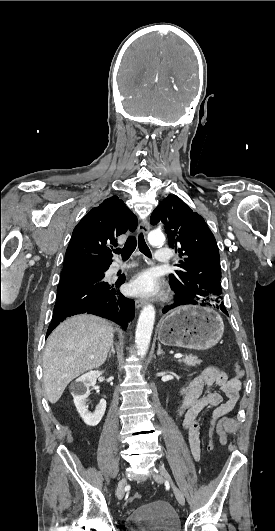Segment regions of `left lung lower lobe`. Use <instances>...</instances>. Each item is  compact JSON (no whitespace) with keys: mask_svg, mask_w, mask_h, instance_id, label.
Returning a JSON list of instances; mask_svg holds the SVG:
<instances>
[{"mask_svg":"<svg viewBox=\"0 0 275 531\" xmlns=\"http://www.w3.org/2000/svg\"><path fill=\"white\" fill-rule=\"evenodd\" d=\"M176 306H179V305H176L175 303L173 305H170V306H165V308L163 309V313H166L169 309L171 308H174ZM224 313H226L228 315V312L225 310Z\"/></svg>","mask_w":275,"mask_h":531,"instance_id":"0a47b994","label":"left lung lower lobe"}]
</instances>
